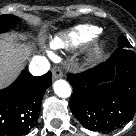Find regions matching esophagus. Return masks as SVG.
<instances>
[{"mask_svg": "<svg viewBox=\"0 0 136 136\" xmlns=\"http://www.w3.org/2000/svg\"><path fill=\"white\" fill-rule=\"evenodd\" d=\"M62 71L59 67H54L52 69V76H53V79H58V78H61L62 77Z\"/></svg>", "mask_w": 136, "mask_h": 136, "instance_id": "1", "label": "esophagus"}]
</instances>
